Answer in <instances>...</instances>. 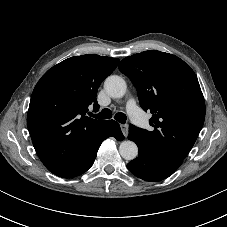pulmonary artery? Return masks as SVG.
<instances>
[{
	"mask_svg": "<svg viewBox=\"0 0 227 227\" xmlns=\"http://www.w3.org/2000/svg\"><path fill=\"white\" fill-rule=\"evenodd\" d=\"M127 111L132 118L139 125H143L142 116L140 110L134 99H129L126 104Z\"/></svg>",
	"mask_w": 227,
	"mask_h": 227,
	"instance_id": "1",
	"label": "pulmonary artery"
}]
</instances>
